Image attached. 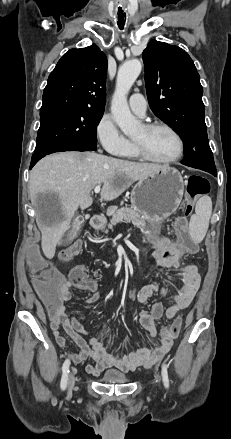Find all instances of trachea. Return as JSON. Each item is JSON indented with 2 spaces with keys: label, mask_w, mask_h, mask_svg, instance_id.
Here are the masks:
<instances>
[{
  "label": "trachea",
  "mask_w": 231,
  "mask_h": 439,
  "mask_svg": "<svg viewBox=\"0 0 231 439\" xmlns=\"http://www.w3.org/2000/svg\"><path fill=\"white\" fill-rule=\"evenodd\" d=\"M125 20H126V16H125ZM125 20H124V16H123V17H118V22H117V24H118V26H119L120 29H123V28H124Z\"/></svg>",
  "instance_id": "obj_1"
}]
</instances>
